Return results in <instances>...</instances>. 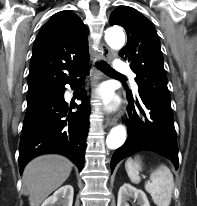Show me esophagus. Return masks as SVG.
<instances>
[{
  "label": "esophagus",
  "instance_id": "34e87169",
  "mask_svg": "<svg viewBox=\"0 0 197 206\" xmlns=\"http://www.w3.org/2000/svg\"><path fill=\"white\" fill-rule=\"evenodd\" d=\"M100 52H101V55H100V58L102 60H108L109 57H110V51H109V48L107 47L106 44L102 43L100 45ZM116 119L115 118H112L111 116H106V124L108 125H114L116 123Z\"/></svg>",
  "mask_w": 197,
  "mask_h": 206
}]
</instances>
